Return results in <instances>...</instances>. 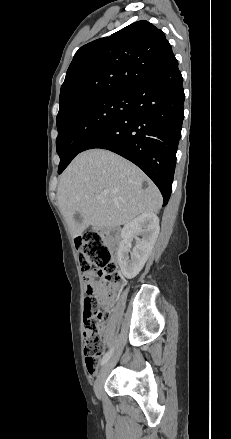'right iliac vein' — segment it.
<instances>
[{
    "label": "right iliac vein",
    "mask_w": 231,
    "mask_h": 439,
    "mask_svg": "<svg viewBox=\"0 0 231 439\" xmlns=\"http://www.w3.org/2000/svg\"><path fill=\"white\" fill-rule=\"evenodd\" d=\"M117 362V356L112 357L109 361L105 363V365L101 368L100 373L94 384V392L97 397L102 396L103 392V384L105 382L106 377L108 376L110 370Z\"/></svg>",
    "instance_id": "right-iliac-vein-1"
}]
</instances>
